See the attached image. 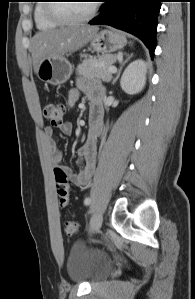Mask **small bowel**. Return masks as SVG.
I'll use <instances>...</instances> for the list:
<instances>
[{
  "label": "small bowel",
  "mask_w": 195,
  "mask_h": 299,
  "mask_svg": "<svg viewBox=\"0 0 195 299\" xmlns=\"http://www.w3.org/2000/svg\"><path fill=\"white\" fill-rule=\"evenodd\" d=\"M80 92H84L89 100V128L86 141L77 149V156L80 165L78 173H73L67 166L61 165L63 153L58 149L53 128L47 126L44 129V137L54 166L62 169L68 176L71 183L77 187L84 186L90 179L96 164V139L102 132L103 121L101 117L102 99L104 88L99 84L81 83L78 89L71 90L68 97V104L73 106L77 101ZM63 134H71L72 124L64 122L60 125Z\"/></svg>",
  "instance_id": "small-bowel-1"
}]
</instances>
